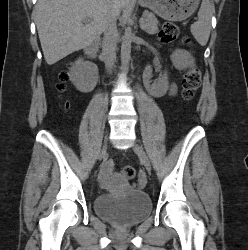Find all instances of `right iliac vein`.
<instances>
[{
  "mask_svg": "<svg viewBox=\"0 0 248 250\" xmlns=\"http://www.w3.org/2000/svg\"><path fill=\"white\" fill-rule=\"evenodd\" d=\"M107 152V141L105 140L102 151L100 153V158L104 157L106 155Z\"/></svg>",
  "mask_w": 248,
  "mask_h": 250,
  "instance_id": "obj_1",
  "label": "right iliac vein"
}]
</instances>
